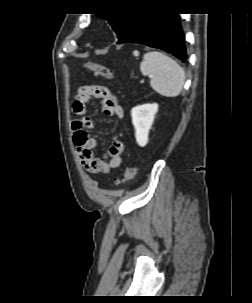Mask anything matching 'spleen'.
I'll return each instance as SVG.
<instances>
[{
  "label": "spleen",
  "mask_w": 252,
  "mask_h": 303,
  "mask_svg": "<svg viewBox=\"0 0 252 303\" xmlns=\"http://www.w3.org/2000/svg\"><path fill=\"white\" fill-rule=\"evenodd\" d=\"M140 71L144 76L151 77V87L162 96L176 97L183 89L185 82L183 68L159 51L144 54Z\"/></svg>",
  "instance_id": "1"
}]
</instances>
